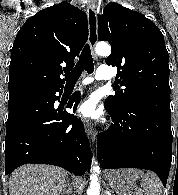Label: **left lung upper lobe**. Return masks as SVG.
<instances>
[{"mask_svg":"<svg viewBox=\"0 0 178 195\" xmlns=\"http://www.w3.org/2000/svg\"><path fill=\"white\" fill-rule=\"evenodd\" d=\"M98 37L112 51L106 64L118 69L117 82L125 86L106 103L114 111L139 105L171 114L169 56L159 28L144 15L109 3L98 19Z\"/></svg>","mask_w":178,"mask_h":195,"instance_id":"left-lung-upper-lobe-1","label":"left lung upper lobe"}]
</instances>
